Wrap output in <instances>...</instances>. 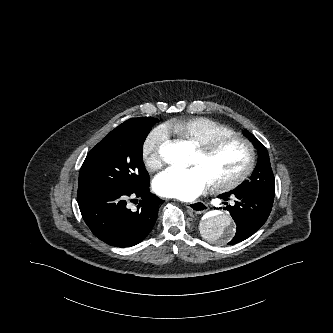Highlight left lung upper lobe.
Returning <instances> with one entry per match:
<instances>
[{"label":"left lung upper lobe","mask_w":333,"mask_h":333,"mask_svg":"<svg viewBox=\"0 0 333 333\" xmlns=\"http://www.w3.org/2000/svg\"><path fill=\"white\" fill-rule=\"evenodd\" d=\"M246 135L258 151V162L251 177L233 191L255 192L274 197L275 182L268 152L251 133L246 132Z\"/></svg>","instance_id":"5c2ea615"}]
</instances>
